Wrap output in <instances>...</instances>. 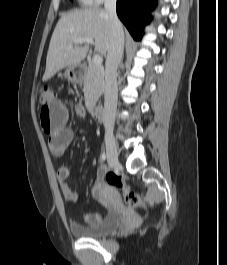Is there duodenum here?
Returning a JSON list of instances; mask_svg holds the SVG:
<instances>
[{"label":"duodenum","mask_w":227,"mask_h":265,"mask_svg":"<svg viewBox=\"0 0 227 265\" xmlns=\"http://www.w3.org/2000/svg\"><path fill=\"white\" fill-rule=\"evenodd\" d=\"M91 115L96 121H102L105 116L104 108L101 105H94L91 108Z\"/></svg>","instance_id":"1"}]
</instances>
